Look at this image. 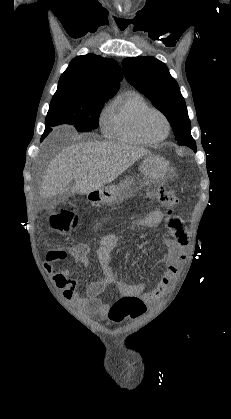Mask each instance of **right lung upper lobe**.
I'll use <instances>...</instances> for the list:
<instances>
[{"label":"right lung upper lobe","mask_w":231,"mask_h":419,"mask_svg":"<svg viewBox=\"0 0 231 419\" xmlns=\"http://www.w3.org/2000/svg\"><path fill=\"white\" fill-rule=\"evenodd\" d=\"M123 75L119 64L94 54L75 57L61 75L56 94L75 98H111Z\"/></svg>","instance_id":"obj_1"}]
</instances>
